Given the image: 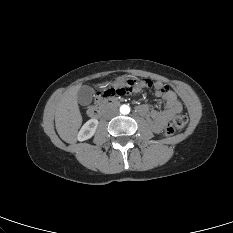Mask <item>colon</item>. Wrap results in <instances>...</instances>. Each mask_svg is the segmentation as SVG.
I'll list each match as a JSON object with an SVG mask.
<instances>
[{
  "mask_svg": "<svg viewBox=\"0 0 233 233\" xmlns=\"http://www.w3.org/2000/svg\"><path fill=\"white\" fill-rule=\"evenodd\" d=\"M142 82L146 87H151L153 85V81L149 80V79H146ZM135 83H136V81L133 79L132 84L128 87L122 86L120 88H116L114 86H111L110 88L106 89L102 93H98L97 98L100 99L102 97H111L115 93L120 94V95L132 94L135 92L134 91ZM187 122H188V119L185 115H177L176 117L173 118V120L165 128V134L166 135H173L176 132L181 131L182 129H184Z\"/></svg>",
  "mask_w": 233,
  "mask_h": 233,
  "instance_id": "colon-1",
  "label": "colon"
}]
</instances>
